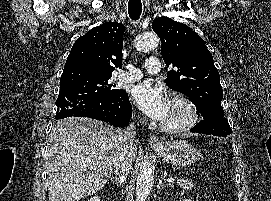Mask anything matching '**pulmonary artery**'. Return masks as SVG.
<instances>
[{
    "label": "pulmonary artery",
    "instance_id": "e3ab8cb5",
    "mask_svg": "<svg viewBox=\"0 0 271 201\" xmlns=\"http://www.w3.org/2000/svg\"><path fill=\"white\" fill-rule=\"evenodd\" d=\"M146 71L150 74H156L160 71V61L157 57H149L145 64ZM127 71L119 74V80L125 83H133L139 81L143 74L142 72L132 65L127 66Z\"/></svg>",
    "mask_w": 271,
    "mask_h": 201
}]
</instances>
